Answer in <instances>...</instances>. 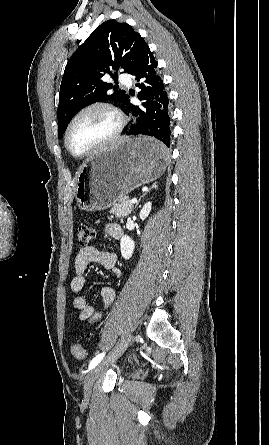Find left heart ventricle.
Segmentation results:
<instances>
[{
    "label": "left heart ventricle",
    "instance_id": "1",
    "mask_svg": "<svg viewBox=\"0 0 269 445\" xmlns=\"http://www.w3.org/2000/svg\"><path fill=\"white\" fill-rule=\"evenodd\" d=\"M114 125L112 116L103 110H93L82 115L70 132V149L76 154L86 151L106 137Z\"/></svg>",
    "mask_w": 269,
    "mask_h": 445
}]
</instances>
